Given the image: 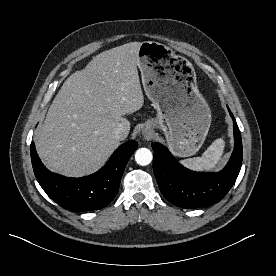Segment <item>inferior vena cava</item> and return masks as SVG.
<instances>
[{"label": "inferior vena cava", "mask_w": 276, "mask_h": 276, "mask_svg": "<svg viewBox=\"0 0 276 276\" xmlns=\"http://www.w3.org/2000/svg\"><path fill=\"white\" fill-rule=\"evenodd\" d=\"M114 137L118 140H123L129 133V127L124 124H119L114 130Z\"/></svg>", "instance_id": "inferior-vena-cava-1"}]
</instances>
